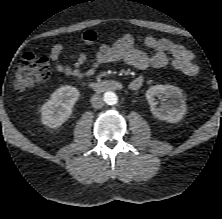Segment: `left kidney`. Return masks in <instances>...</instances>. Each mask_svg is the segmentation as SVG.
<instances>
[{
  "label": "left kidney",
  "mask_w": 222,
  "mask_h": 219,
  "mask_svg": "<svg viewBox=\"0 0 222 219\" xmlns=\"http://www.w3.org/2000/svg\"><path fill=\"white\" fill-rule=\"evenodd\" d=\"M163 96L161 105L156 106L155 97ZM146 99L150 104L152 115L160 120L170 123L180 121L185 112L186 104L182 99V92L173 85H155L146 91Z\"/></svg>",
  "instance_id": "5707ae66"
}]
</instances>
